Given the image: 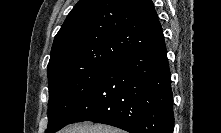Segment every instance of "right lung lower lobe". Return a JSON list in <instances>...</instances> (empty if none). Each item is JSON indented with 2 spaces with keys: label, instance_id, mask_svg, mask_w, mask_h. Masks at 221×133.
Segmentation results:
<instances>
[{
  "label": "right lung lower lobe",
  "instance_id": "obj_1",
  "mask_svg": "<svg viewBox=\"0 0 221 133\" xmlns=\"http://www.w3.org/2000/svg\"><path fill=\"white\" fill-rule=\"evenodd\" d=\"M81 121L108 124L130 133H173V94L165 42L111 64L70 123Z\"/></svg>",
  "mask_w": 221,
  "mask_h": 133
}]
</instances>
